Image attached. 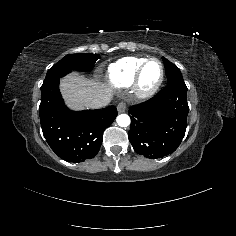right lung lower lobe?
<instances>
[{
	"label": "right lung lower lobe",
	"instance_id": "obj_1",
	"mask_svg": "<svg viewBox=\"0 0 236 236\" xmlns=\"http://www.w3.org/2000/svg\"><path fill=\"white\" fill-rule=\"evenodd\" d=\"M68 73L46 77L39 106L43 135L57 156L68 162L93 158L102 144L104 130L117 116L115 106L98 110H69L59 91V80Z\"/></svg>",
	"mask_w": 236,
	"mask_h": 236
}]
</instances>
